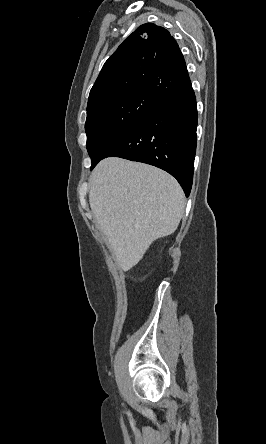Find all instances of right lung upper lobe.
<instances>
[{
  "mask_svg": "<svg viewBox=\"0 0 266 444\" xmlns=\"http://www.w3.org/2000/svg\"><path fill=\"white\" fill-rule=\"evenodd\" d=\"M191 84L176 40L163 27H138L105 62L88 99L87 109L117 95L144 91L164 99Z\"/></svg>",
  "mask_w": 266,
  "mask_h": 444,
  "instance_id": "obj_1",
  "label": "right lung upper lobe"
}]
</instances>
